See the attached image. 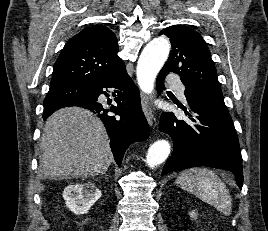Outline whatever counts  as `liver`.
Masks as SVG:
<instances>
[{
    "instance_id": "obj_1",
    "label": "liver",
    "mask_w": 268,
    "mask_h": 231,
    "mask_svg": "<svg viewBox=\"0 0 268 231\" xmlns=\"http://www.w3.org/2000/svg\"><path fill=\"white\" fill-rule=\"evenodd\" d=\"M109 137L99 118L80 107H66L46 121L40 144L42 179L89 178L113 162Z\"/></svg>"
}]
</instances>
